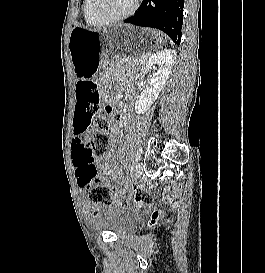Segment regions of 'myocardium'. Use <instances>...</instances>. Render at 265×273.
Returning <instances> with one entry per match:
<instances>
[{
    "label": "myocardium",
    "mask_w": 265,
    "mask_h": 273,
    "mask_svg": "<svg viewBox=\"0 0 265 273\" xmlns=\"http://www.w3.org/2000/svg\"><path fill=\"white\" fill-rule=\"evenodd\" d=\"M103 2H104L103 0H94L93 11L99 20H101L105 24H109V23H115V22L124 20V19L128 18L129 16H131L139 7L141 0H135L133 5L131 6V8L128 11H126L122 14H119V15H115V16L107 15L103 11V8H102Z\"/></svg>",
    "instance_id": "1"
}]
</instances>
